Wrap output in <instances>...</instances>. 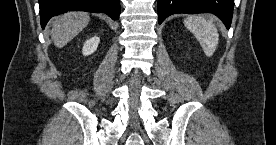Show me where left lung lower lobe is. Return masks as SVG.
Instances as JSON below:
<instances>
[{
	"label": "left lung lower lobe",
	"mask_w": 276,
	"mask_h": 145,
	"mask_svg": "<svg viewBox=\"0 0 276 145\" xmlns=\"http://www.w3.org/2000/svg\"><path fill=\"white\" fill-rule=\"evenodd\" d=\"M234 0H158V20L161 24L166 17L176 13H213L226 28L231 26Z\"/></svg>",
	"instance_id": "obj_1"
}]
</instances>
